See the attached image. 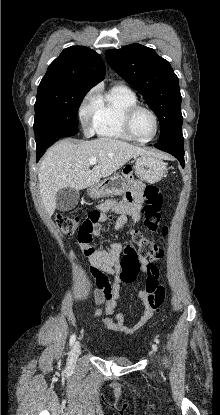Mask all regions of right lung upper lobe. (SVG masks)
Wrapping results in <instances>:
<instances>
[{
	"label": "right lung upper lobe",
	"instance_id": "right-lung-upper-lobe-1",
	"mask_svg": "<svg viewBox=\"0 0 220 415\" xmlns=\"http://www.w3.org/2000/svg\"><path fill=\"white\" fill-rule=\"evenodd\" d=\"M104 76L105 67L99 54L85 46H71L49 65L39 86L65 85L90 89Z\"/></svg>",
	"mask_w": 220,
	"mask_h": 415
}]
</instances>
